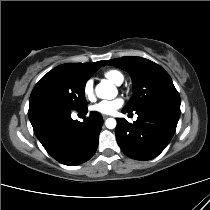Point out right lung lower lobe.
<instances>
[{
	"mask_svg": "<svg viewBox=\"0 0 210 210\" xmlns=\"http://www.w3.org/2000/svg\"><path fill=\"white\" fill-rule=\"evenodd\" d=\"M87 113V107L80 110ZM34 133L46 151L57 161L76 166L88 161L96 152L103 119L90 112L84 122L71 118L70 111H49L30 119Z\"/></svg>",
	"mask_w": 210,
	"mask_h": 210,
	"instance_id": "right-lung-lower-lobe-1",
	"label": "right lung lower lobe"
}]
</instances>
